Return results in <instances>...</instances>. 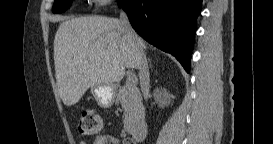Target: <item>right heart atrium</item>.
<instances>
[{
  "mask_svg": "<svg viewBox=\"0 0 273 144\" xmlns=\"http://www.w3.org/2000/svg\"><path fill=\"white\" fill-rule=\"evenodd\" d=\"M94 2L99 8H105L115 3L113 0H95Z\"/></svg>",
  "mask_w": 273,
  "mask_h": 144,
  "instance_id": "right-heart-atrium-1",
  "label": "right heart atrium"
}]
</instances>
